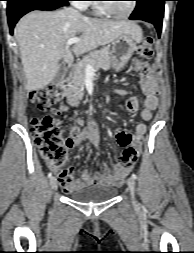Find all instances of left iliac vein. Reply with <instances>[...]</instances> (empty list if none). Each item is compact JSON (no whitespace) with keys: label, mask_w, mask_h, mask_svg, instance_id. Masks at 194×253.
<instances>
[{"label":"left iliac vein","mask_w":194,"mask_h":253,"mask_svg":"<svg viewBox=\"0 0 194 253\" xmlns=\"http://www.w3.org/2000/svg\"><path fill=\"white\" fill-rule=\"evenodd\" d=\"M127 185H128L129 190H130L133 203L136 204V200H135V181H134V179L133 178H129L127 180Z\"/></svg>","instance_id":"obj_1"}]
</instances>
